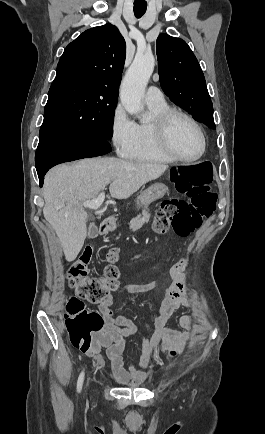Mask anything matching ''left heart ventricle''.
<instances>
[{
	"label": "left heart ventricle",
	"mask_w": 265,
	"mask_h": 434,
	"mask_svg": "<svg viewBox=\"0 0 265 434\" xmlns=\"http://www.w3.org/2000/svg\"><path fill=\"white\" fill-rule=\"evenodd\" d=\"M171 142L183 158L196 157L201 149V138L194 126L183 118H176L172 125Z\"/></svg>",
	"instance_id": "left-heart-ventricle-1"
}]
</instances>
